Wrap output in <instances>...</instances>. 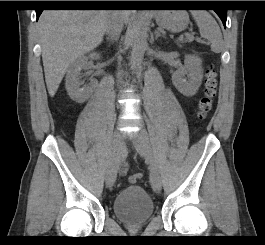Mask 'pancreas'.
I'll return each instance as SVG.
<instances>
[{"label": "pancreas", "mask_w": 265, "mask_h": 245, "mask_svg": "<svg viewBox=\"0 0 265 245\" xmlns=\"http://www.w3.org/2000/svg\"><path fill=\"white\" fill-rule=\"evenodd\" d=\"M193 40H194V38H187V41H189V42H191Z\"/></svg>", "instance_id": "obj_1"}]
</instances>
